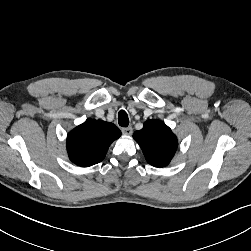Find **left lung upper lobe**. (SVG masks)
I'll list each match as a JSON object with an SVG mask.
<instances>
[{"label": "left lung upper lobe", "mask_w": 251, "mask_h": 251, "mask_svg": "<svg viewBox=\"0 0 251 251\" xmlns=\"http://www.w3.org/2000/svg\"><path fill=\"white\" fill-rule=\"evenodd\" d=\"M133 138L141 147L147 162L155 167L167 166L173 158L178 141L171 129L159 120H147Z\"/></svg>", "instance_id": "1"}]
</instances>
